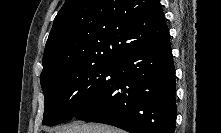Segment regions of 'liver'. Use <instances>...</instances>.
<instances>
[{"label":"liver","instance_id":"obj_1","mask_svg":"<svg viewBox=\"0 0 221 133\" xmlns=\"http://www.w3.org/2000/svg\"><path fill=\"white\" fill-rule=\"evenodd\" d=\"M55 133H123L122 130L103 124H85L75 121L69 125L56 128Z\"/></svg>","mask_w":221,"mask_h":133}]
</instances>
